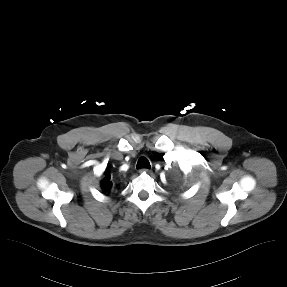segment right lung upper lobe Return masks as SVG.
Wrapping results in <instances>:
<instances>
[{
    "mask_svg": "<svg viewBox=\"0 0 287 287\" xmlns=\"http://www.w3.org/2000/svg\"><path fill=\"white\" fill-rule=\"evenodd\" d=\"M106 174V172L104 173ZM111 176L106 175L104 179L101 181V188L104 192H109L112 188V182L110 181Z\"/></svg>",
    "mask_w": 287,
    "mask_h": 287,
    "instance_id": "1",
    "label": "right lung upper lobe"
}]
</instances>
